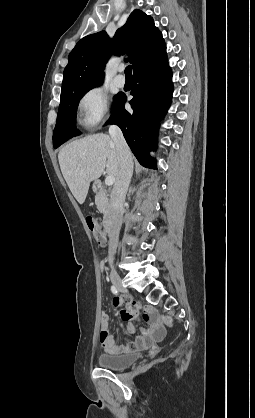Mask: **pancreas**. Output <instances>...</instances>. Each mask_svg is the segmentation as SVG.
<instances>
[{
	"mask_svg": "<svg viewBox=\"0 0 255 418\" xmlns=\"http://www.w3.org/2000/svg\"><path fill=\"white\" fill-rule=\"evenodd\" d=\"M95 203L100 213L104 215L107 214L109 210V200L104 193L101 192L96 195Z\"/></svg>",
	"mask_w": 255,
	"mask_h": 418,
	"instance_id": "cf45deb5",
	"label": "pancreas"
}]
</instances>
